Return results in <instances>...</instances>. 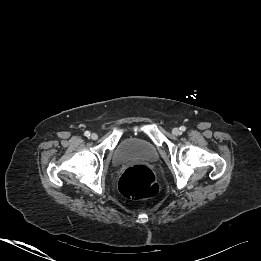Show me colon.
<instances>
[{
    "label": "colon",
    "mask_w": 261,
    "mask_h": 261,
    "mask_svg": "<svg viewBox=\"0 0 261 261\" xmlns=\"http://www.w3.org/2000/svg\"><path fill=\"white\" fill-rule=\"evenodd\" d=\"M121 194L129 199H146L159 192L153 172L144 165L132 166L124 171L118 183Z\"/></svg>",
    "instance_id": "obj_1"
}]
</instances>
